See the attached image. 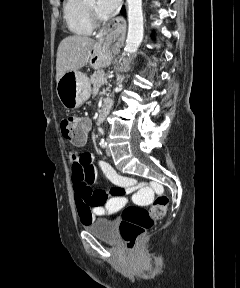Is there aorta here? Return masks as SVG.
<instances>
[{
  "instance_id": "obj_1",
  "label": "aorta",
  "mask_w": 240,
  "mask_h": 288,
  "mask_svg": "<svg viewBox=\"0 0 240 288\" xmlns=\"http://www.w3.org/2000/svg\"><path fill=\"white\" fill-rule=\"evenodd\" d=\"M128 5V34L125 52L129 56L137 51L144 34L142 0H127Z\"/></svg>"
}]
</instances>
